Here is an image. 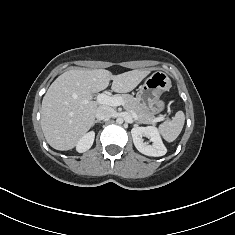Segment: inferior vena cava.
Returning a JSON list of instances; mask_svg holds the SVG:
<instances>
[{"label":"inferior vena cava","instance_id":"obj_1","mask_svg":"<svg viewBox=\"0 0 235 235\" xmlns=\"http://www.w3.org/2000/svg\"><path fill=\"white\" fill-rule=\"evenodd\" d=\"M113 115V109L108 106H100L96 112L97 120H106L111 118Z\"/></svg>","mask_w":235,"mask_h":235}]
</instances>
